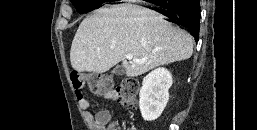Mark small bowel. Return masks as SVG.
<instances>
[{
    "mask_svg": "<svg viewBox=\"0 0 257 130\" xmlns=\"http://www.w3.org/2000/svg\"><path fill=\"white\" fill-rule=\"evenodd\" d=\"M79 106L80 108L86 113V118L89 122L93 123L95 130H115L114 123L111 121V116L108 111H100L95 118L88 111L89 109V102L86 98L82 97L79 98ZM96 121H99L100 124H96Z\"/></svg>",
    "mask_w": 257,
    "mask_h": 130,
    "instance_id": "c3829d8e",
    "label": "small bowel"
}]
</instances>
